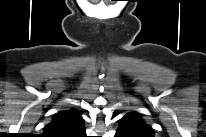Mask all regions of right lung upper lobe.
I'll list each match as a JSON object with an SVG mask.
<instances>
[{"label": "right lung upper lobe", "mask_w": 206, "mask_h": 137, "mask_svg": "<svg viewBox=\"0 0 206 137\" xmlns=\"http://www.w3.org/2000/svg\"><path fill=\"white\" fill-rule=\"evenodd\" d=\"M85 134L84 119L76 109L56 113L44 127L46 137H84Z\"/></svg>", "instance_id": "right-lung-upper-lobe-1"}]
</instances>
